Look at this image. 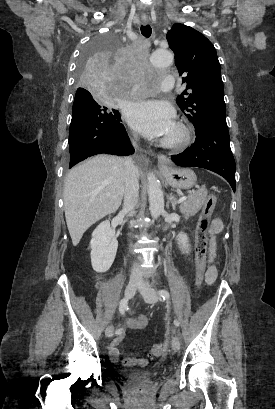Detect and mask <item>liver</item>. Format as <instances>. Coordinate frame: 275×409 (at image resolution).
I'll list each match as a JSON object with an SVG mask.
<instances>
[{"label":"liver","mask_w":275,"mask_h":409,"mask_svg":"<svg viewBox=\"0 0 275 409\" xmlns=\"http://www.w3.org/2000/svg\"><path fill=\"white\" fill-rule=\"evenodd\" d=\"M125 158L97 154L69 170L64 182V211L74 247L83 233L119 209L124 194Z\"/></svg>","instance_id":"liver-1"}]
</instances>
